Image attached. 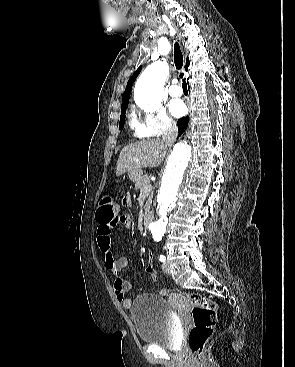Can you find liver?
I'll return each instance as SVG.
<instances>
[{
    "mask_svg": "<svg viewBox=\"0 0 295 367\" xmlns=\"http://www.w3.org/2000/svg\"><path fill=\"white\" fill-rule=\"evenodd\" d=\"M167 146L163 140L148 139L129 144L124 147L119 155L116 175L139 170L145 167H158L166 154Z\"/></svg>",
    "mask_w": 295,
    "mask_h": 367,
    "instance_id": "obj_1",
    "label": "liver"
}]
</instances>
